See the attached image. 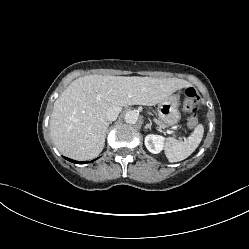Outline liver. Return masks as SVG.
Listing matches in <instances>:
<instances>
[{"mask_svg":"<svg viewBox=\"0 0 249 249\" xmlns=\"http://www.w3.org/2000/svg\"><path fill=\"white\" fill-rule=\"evenodd\" d=\"M190 84L178 78L89 75L80 77L54 102L50 134L56 148L75 160L97 157L105 144L106 112L112 106L159 104Z\"/></svg>","mask_w":249,"mask_h":249,"instance_id":"6515ba94","label":"liver"}]
</instances>
